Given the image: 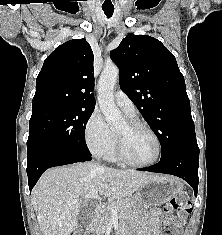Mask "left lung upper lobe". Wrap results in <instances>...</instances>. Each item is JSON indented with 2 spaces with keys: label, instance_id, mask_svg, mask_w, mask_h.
Returning <instances> with one entry per match:
<instances>
[{
  "label": "left lung upper lobe",
  "instance_id": "1",
  "mask_svg": "<svg viewBox=\"0 0 222 235\" xmlns=\"http://www.w3.org/2000/svg\"><path fill=\"white\" fill-rule=\"evenodd\" d=\"M110 57L120 70L122 91L158 136L161 159L199 152L184 77L162 42L128 34Z\"/></svg>",
  "mask_w": 222,
  "mask_h": 235
}]
</instances>
